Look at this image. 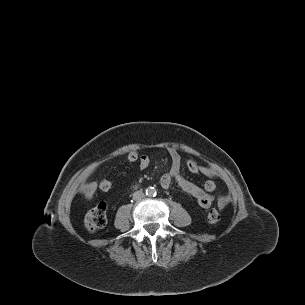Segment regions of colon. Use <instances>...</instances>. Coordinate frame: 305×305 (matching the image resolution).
Wrapping results in <instances>:
<instances>
[{
    "instance_id": "5ec220e1",
    "label": "colon",
    "mask_w": 305,
    "mask_h": 305,
    "mask_svg": "<svg viewBox=\"0 0 305 305\" xmlns=\"http://www.w3.org/2000/svg\"><path fill=\"white\" fill-rule=\"evenodd\" d=\"M141 154L138 149L131 148L125 153V159L130 164H136L140 162ZM113 187V183L109 179H103L99 183V188L104 191H110ZM221 216L218 210L212 209L208 213V220L211 223H216L220 220ZM107 222V206L105 203H100L96 207L89 210L85 216L86 228L93 232L103 228Z\"/></svg>"
}]
</instances>
